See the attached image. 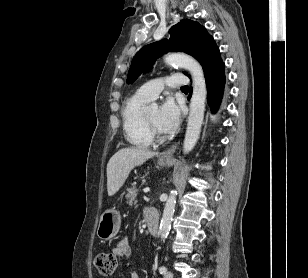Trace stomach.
<instances>
[{
  "mask_svg": "<svg viewBox=\"0 0 308 278\" xmlns=\"http://www.w3.org/2000/svg\"><path fill=\"white\" fill-rule=\"evenodd\" d=\"M169 162L158 160V164L162 167L166 166ZM121 225L120 214L113 209L106 210L100 217L97 236L104 241L113 238L119 231Z\"/></svg>",
  "mask_w": 308,
  "mask_h": 278,
  "instance_id": "obj_1",
  "label": "stomach"
}]
</instances>
